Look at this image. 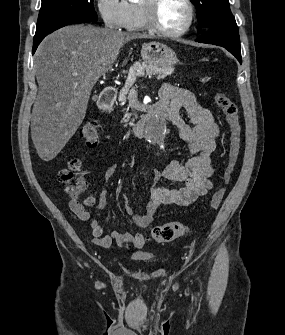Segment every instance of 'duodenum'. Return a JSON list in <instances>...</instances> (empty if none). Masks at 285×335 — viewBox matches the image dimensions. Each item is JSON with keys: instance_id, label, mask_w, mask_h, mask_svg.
Segmentation results:
<instances>
[{"instance_id": "obj_1", "label": "duodenum", "mask_w": 285, "mask_h": 335, "mask_svg": "<svg viewBox=\"0 0 285 335\" xmlns=\"http://www.w3.org/2000/svg\"><path fill=\"white\" fill-rule=\"evenodd\" d=\"M116 97H117L116 88L108 87L104 89L98 101L99 109L102 111L109 110ZM175 114H176L175 110L168 102L160 101V103L157 106H155L149 111V116L140 119L134 124L132 128V134L135 137L138 138L141 137L145 131L146 122L148 121L150 116H156L162 120H172L175 117Z\"/></svg>"}]
</instances>
